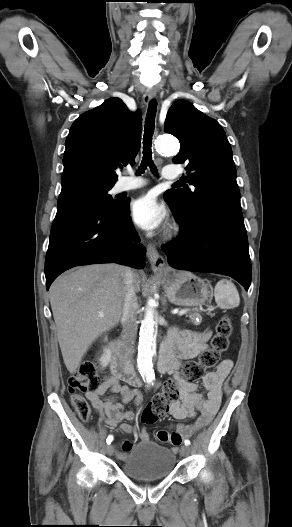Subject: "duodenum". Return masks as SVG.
Instances as JSON below:
<instances>
[{"label":"duodenum","instance_id":"duodenum-1","mask_svg":"<svg viewBox=\"0 0 292 527\" xmlns=\"http://www.w3.org/2000/svg\"><path fill=\"white\" fill-rule=\"evenodd\" d=\"M112 357L111 366L113 372L119 375L125 382L130 385H140L141 381L136 376L129 360L126 358L118 341H113L109 345ZM170 362V353L163 344L160 350L158 369L160 372H166Z\"/></svg>","mask_w":292,"mask_h":527}]
</instances>
